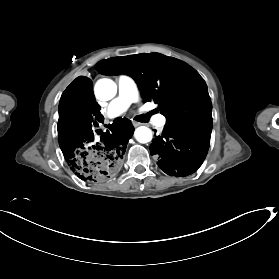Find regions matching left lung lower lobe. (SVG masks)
Returning <instances> with one entry per match:
<instances>
[{
	"mask_svg": "<svg viewBox=\"0 0 279 279\" xmlns=\"http://www.w3.org/2000/svg\"><path fill=\"white\" fill-rule=\"evenodd\" d=\"M212 126L184 127L166 124L150 145V154L168 175L184 177L203 163L209 148Z\"/></svg>",
	"mask_w": 279,
	"mask_h": 279,
	"instance_id": "1",
	"label": "left lung lower lobe"
}]
</instances>
